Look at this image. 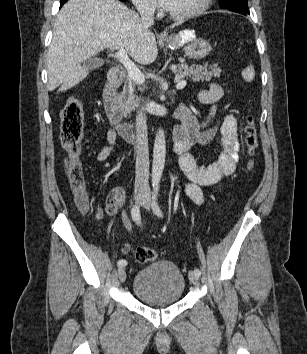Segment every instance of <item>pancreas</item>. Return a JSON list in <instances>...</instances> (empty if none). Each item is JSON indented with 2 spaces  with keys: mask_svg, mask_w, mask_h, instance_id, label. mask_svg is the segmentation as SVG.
<instances>
[{
  "mask_svg": "<svg viewBox=\"0 0 307 354\" xmlns=\"http://www.w3.org/2000/svg\"><path fill=\"white\" fill-rule=\"evenodd\" d=\"M175 78L180 80L190 78L193 82L210 81L212 77H220L221 69L217 65H178L173 71ZM135 85L133 81L127 77L121 97L123 99V108L127 113H130L137 107V99H135Z\"/></svg>",
  "mask_w": 307,
  "mask_h": 354,
  "instance_id": "cf45deb5",
  "label": "pancreas"
}]
</instances>
